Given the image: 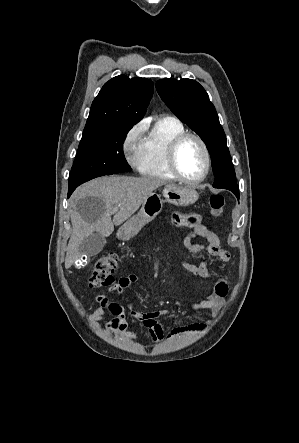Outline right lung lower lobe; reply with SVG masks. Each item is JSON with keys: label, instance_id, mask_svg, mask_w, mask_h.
Listing matches in <instances>:
<instances>
[{"label": "right lung lower lobe", "instance_id": "1", "mask_svg": "<svg viewBox=\"0 0 299 443\" xmlns=\"http://www.w3.org/2000/svg\"><path fill=\"white\" fill-rule=\"evenodd\" d=\"M77 186L74 187H68V197H70V195L72 194V192L75 190Z\"/></svg>", "mask_w": 299, "mask_h": 443}]
</instances>
